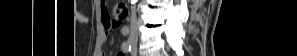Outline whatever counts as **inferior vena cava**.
<instances>
[{
    "instance_id": "602c4592",
    "label": "inferior vena cava",
    "mask_w": 297,
    "mask_h": 56,
    "mask_svg": "<svg viewBox=\"0 0 297 56\" xmlns=\"http://www.w3.org/2000/svg\"><path fill=\"white\" fill-rule=\"evenodd\" d=\"M136 24H137V17H136V10L135 6L131 8V20H130V26H131V32L136 33Z\"/></svg>"
}]
</instances>
